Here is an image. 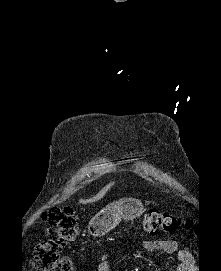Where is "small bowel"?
<instances>
[{"instance_id":"obj_1","label":"small bowel","mask_w":221,"mask_h":271,"mask_svg":"<svg viewBox=\"0 0 221 271\" xmlns=\"http://www.w3.org/2000/svg\"><path fill=\"white\" fill-rule=\"evenodd\" d=\"M143 248L147 252L161 251L167 254H176L180 260V264L177 267V271H192L193 258L190 252L186 250H180L178 244L172 239H147L143 241ZM112 260L109 254H103L98 263L97 271H111Z\"/></svg>"}]
</instances>
